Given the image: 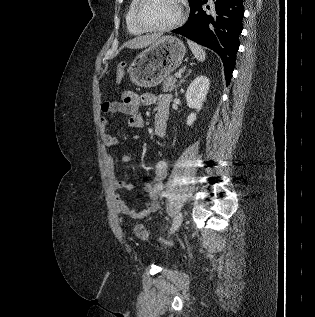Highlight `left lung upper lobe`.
<instances>
[{"label":"left lung upper lobe","mask_w":315,"mask_h":317,"mask_svg":"<svg viewBox=\"0 0 315 317\" xmlns=\"http://www.w3.org/2000/svg\"><path fill=\"white\" fill-rule=\"evenodd\" d=\"M189 1V4L193 1V0H188Z\"/></svg>","instance_id":"obj_1"}]
</instances>
